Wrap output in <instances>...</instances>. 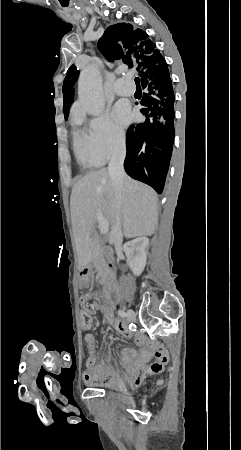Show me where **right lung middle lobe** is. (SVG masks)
I'll list each match as a JSON object with an SVG mask.
<instances>
[{
    "instance_id": "dd1d6c3e",
    "label": "right lung middle lobe",
    "mask_w": 241,
    "mask_h": 450,
    "mask_svg": "<svg viewBox=\"0 0 241 450\" xmlns=\"http://www.w3.org/2000/svg\"><path fill=\"white\" fill-rule=\"evenodd\" d=\"M78 75L68 76L65 78L62 92H63V111L65 115V119H67L69 114L70 105L73 102L74 97V91L72 87L75 84V81L77 80Z\"/></svg>"
}]
</instances>
